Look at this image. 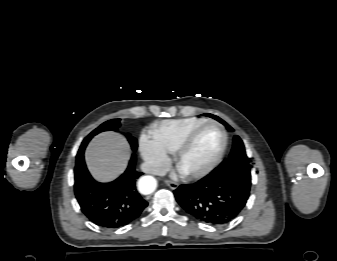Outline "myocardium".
Here are the masks:
<instances>
[{"label": "myocardium", "instance_id": "myocardium-1", "mask_svg": "<svg viewBox=\"0 0 337 261\" xmlns=\"http://www.w3.org/2000/svg\"><path fill=\"white\" fill-rule=\"evenodd\" d=\"M208 126H216L222 133V145L216 154V156L203 168L193 171V172H184L180 168V163L184 155L187 153L191 145L193 144L195 138L197 135L206 127ZM228 146V134L224 126L215 121V120H207L198 126L194 127L182 140L176 151L173 153V161L174 165L177 168V170L186 178L189 179H198L202 178L206 175H208L210 172H212L218 164L221 162L226 149Z\"/></svg>", "mask_w": 337, "mask_h": 261}]
</instances>
